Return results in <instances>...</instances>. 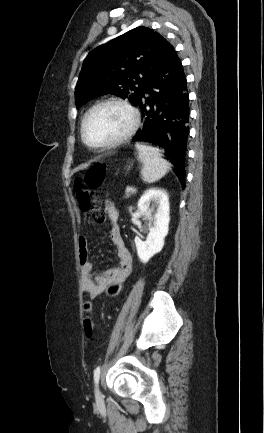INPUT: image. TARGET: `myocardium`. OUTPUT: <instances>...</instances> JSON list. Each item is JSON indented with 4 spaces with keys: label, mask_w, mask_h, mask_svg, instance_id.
I'll use <instances>...</instances> for the list:
<instances>
[{
    "label": "myocardium",
    "mask_w": 264,
    "mask_h": 433,
    "mask_svg": "<svg viewBox=\"0 0 264 433\" xmlns=\"http://www.w3.org/2000/svg\"><path fill=\"white\" fill-rule=\"evenodd\" d=\"M106 105H117L120 106L122 108H124L130 115V125L127 128V130L121 134L120 136L100 143V144H93L91 142L88 141L86 134H85V126L86 123L89 119V117L99 108L106 106ZM139 122H140V115L138 110L127 100L121 99V98H107V99H103L99 102H97L96 104H94L84 115L82 122H81V127H80V133H81V138L83 140V142L92 148H111V147H115L118 146L122 143H124L125 141H127L137 130L138 126H139Z\"/></svg>",
    "instance_id": "f54148a6"
}]
</instances>
